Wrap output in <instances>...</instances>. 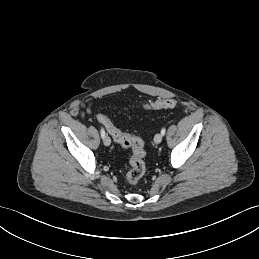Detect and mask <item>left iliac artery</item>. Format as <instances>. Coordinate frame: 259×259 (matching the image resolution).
I'll use <instances>...</instances> for the list:
<instances>
[{"instance_id":"left-iliac-artery-1","label":"left iliac artery","mask_w":259,"mask_h":259,"mask_svg":"<svg viewBox=\"0 0 259 259\" xmlns=\"http://www.w3.org/2000/svg\"><path fill=\"white\" fill-rule=\"evenodd\" d=\"M165 132H166V129H165V128H162L161 134H162V135H165Z\"/></svg>"}]
</instances>
